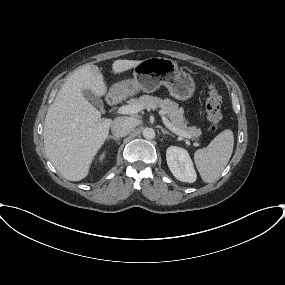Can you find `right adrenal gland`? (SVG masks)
I'll return each instance as SVG.
<instances>
[{
	"label": "right adrenal gland",
	"instance_id": "1",
	"mask_svg": "<svg viewBox=\"0 0 285 285\" xmlns=\"http://www.w3.org/2000/svg\"><path fill=\"white\" fill-rule=\"evenodd\" d=\"M107 140H114V141H116V142H119V141H120V139L117 138V137H115V136H108V137H107Z\"/></svg>",
	"mask_w": 285,
	"mask_h": 285
}]
</instances>
